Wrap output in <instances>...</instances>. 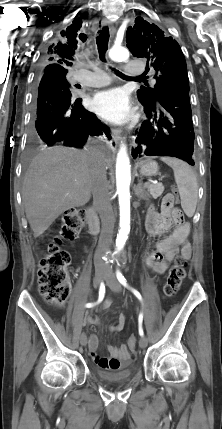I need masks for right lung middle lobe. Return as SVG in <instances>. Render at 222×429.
Segmentation results:
<instances>
[{
	"label": "right lung middle lobe",
	"mask_w": 222,
	"mask_h": 429,
	"mask_svg": "<svg viewBox=\"0 0 222 429\" xmlns=\"http://www.w3.org/2000/svg\"><path fill=\"white\" fill-rule=\"evenodd\" d=\"M65 76H66L65 74L54 75L55 79H56L58 82H60V83H62V84H65V85H67L68 87H70V85H69V83H68V81H67V79H66V77H65Z\"/></svg>",
	"instance_id": "dd1d6c3e"
}]
</instances>
